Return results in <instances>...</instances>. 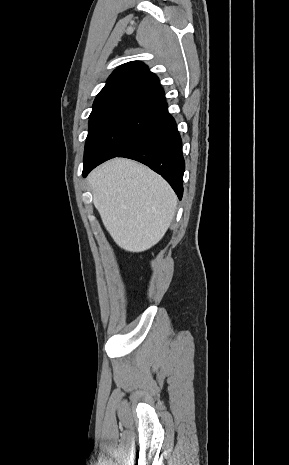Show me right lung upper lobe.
<instances>
[{
    "instance_id": "cb5924a9",
    "label": "right lung upper lobe",
    "mask_w": 289,
    "mask_h": 465,
    "mask_svg": "<svg viewBox=\"0 0 289 465\" xmlns=\"http://www.w3.org/2000/svg\"><path fill=\"white\" fill-rule=\"evenodd\" d=\"M164 91L158 77L139 61L118 67L108 78L105 87L96 96L93 115L114 105L130 102L164 106Z\"/></svg>"
}]
</instances>
